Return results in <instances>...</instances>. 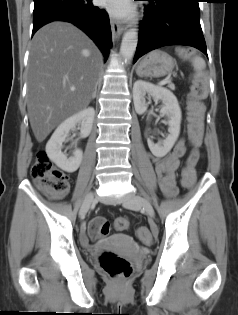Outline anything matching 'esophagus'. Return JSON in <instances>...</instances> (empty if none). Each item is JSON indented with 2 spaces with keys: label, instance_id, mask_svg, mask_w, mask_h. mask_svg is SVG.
Wrapping results in <instances>:
<instances>
[{
  "label": "esophagus",
  "instance_id": "esophagus-1",
  "mask_svg": "<svg viewBox=\"0 0 238 315\" xmlns=\"http://www.w3.org/2000/svg\"><path fill=\"white\" fill-rule=\"evenodd\" d=\"M111 29L114 39L118 38L125 30V26L120 21L112 18Z\"/></svg>",
  "mask_w": 238,
  "mask_h": 315
}]
</instances>
